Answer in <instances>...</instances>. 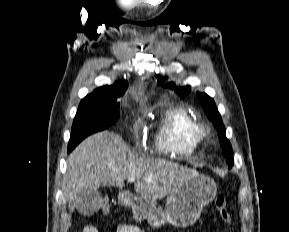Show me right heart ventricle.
<instances>
[{
    "label": "right heart ventricle",
    "mask_w": 289,
    "mask_h": 232,
    "mask_svg": "<svg viewBox=\"0 0 289 232\" xmlns=\"http://www.w3.org/2000/svg\"><path fill=\"white\" fill-rule=\"evenodd\" d=\"M196 125L195 119L185 108H167L160 115L154 134L156 149L178 155L193 153L200 142L195 134Z\"/></svg>",
    "instance_id": "1"
}]
</instances>
